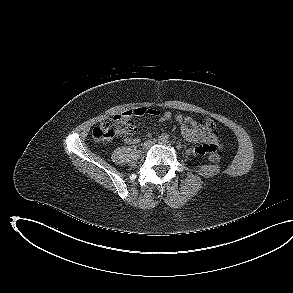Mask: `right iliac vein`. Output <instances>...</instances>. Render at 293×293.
<instances>
[{
    "mask_svg": "<svg viewBox=\"0 0 293 293\" xmlns=\"http://www.w3.org/2000/svg\"><path fill=\"white\" fill-rule=\"evenodd\" d=\"M152 144H154V141L153 140H147V141L144 142L143 148L144 149H148L149 147L152 146Z\"/></svg>",
    "mask_w": 293,
    "mask_h": 293,
    "instance_id": "1",
    "label": "right iliac vein"
}]
</instances>
